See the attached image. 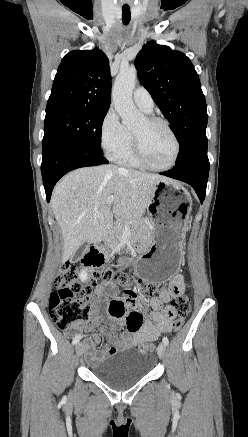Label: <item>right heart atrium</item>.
Here are the masks:
<instances>
[{"label":"right heart atrium","instance_id":"d8ad5b80","mask_svg":"<svg viewBox=\"0 0 248 437\" xmlns=\"http://www.w3.org/2000/svg\"><path fill=\"white\" fill-rule=\"evenodd\" d=\"M131 135L123 127L117 112L110 108L100 125V144L106 155L117 159L128 148Z\"/></svg>","mask_w":248,"mask_h":437}]
</instances>
